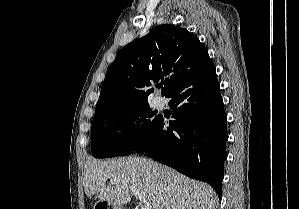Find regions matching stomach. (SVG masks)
<instances>
[{
	"instance_id": "stomach-1",
	"label": "stomach",
	"mask_w": 299,
	"mask_h": 209,
	"mask_svg": "<svg viewBox=\"0 0 299 209\" xmlns=\"http://www.w3.org/2000/svg\"><path fill=\"white\" fill-rule=\"evenodd\" d=\"M94 209H110V204L106 201H97L94 205ZM113 209H122L121 207H113Z\"/></svg>"
}]
</instances>
